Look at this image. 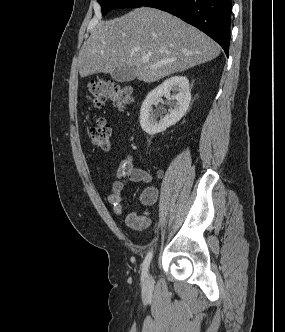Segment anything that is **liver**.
<instances>
[{"label": "liver", "instance_id": "6515ba94", "mask_svg": "<svg viewBox=\"0 0 285 332\" xmlns=\"http://www.w3.org/2000/svg\"><path fill=\"white\" fill-rule=\"evenodd\" d=\"M220 46L199 29L155 8L141 7L119 18L100 21L79 53V74L111 73L132 67L145 83L158 81L208 62ZM148 56L147 63L142 57ZM153 64H162L152 68Z\"/></svg>", "mask_w": 285, "mask_h": 332}]
</instances>
